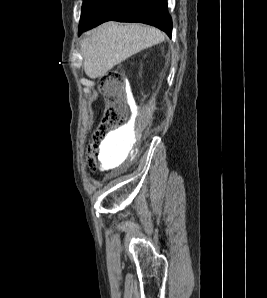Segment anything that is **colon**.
Wrapping results in <instances>:
<instances>
[{
    "instance_id": "obj_1",
    "label": "colon",
    "mask_w": 267,
    "mask_h": 298,
    "mask_svg": "<svg viewBox=\"0 0 267 298\" xmlns=\"http://www.w3.org/2000/svg\"><path fill=\"white\" fill-rule=\"evenodd\" d=\"M100 89L106 106L100 123L93 133V141L87 153V168L94 171L98 165V155L106 143L108 136L128 122L124 101V78L117 71H110L100 82Z\"/></svg>"
}]
</instances>
